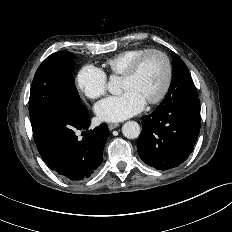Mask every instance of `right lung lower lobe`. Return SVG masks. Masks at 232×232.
Wrapping results in <instances>:
<instances>
[{"mask_svg":"<svg viewBox=\"0 0 232 232\" xmlns=\"http://www.w3.org/2000/svg\"><path fill=\"white\" fill-rule=\"evenodd\" d=\"M89 112L64 110L47 124L44 133L35 141L48 167L70 180L90 177L100 166L103 149L110 132L106 124L89 130ZM82 130L79 140L76 132Z\"/></svg>","mask_w":232,"mask_h":232,"instance_id":"1","label":"right lung lower lobe"}]
</instances>
